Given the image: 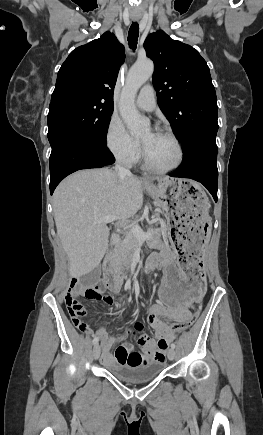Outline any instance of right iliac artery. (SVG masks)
Masks as SVG:
<instances>
[{
  "label": "right iliac artery",
  "instance_id": "1",
  "mask_svg": "<svg viewBox=\"0 0 263 435\" xmlns=\"http://www.w3.org/2000/svg\"><path fill=\"white\" fill-rule=\"evenodd\" d=\"M98 341H99V338H98V337H95V338L93 339L92 343L95 345V344L98 343Z\"/></svg>",
  "mask_w": 263,
  "mask_h": 435
}]
</instances>
